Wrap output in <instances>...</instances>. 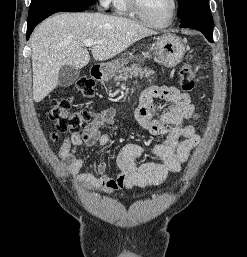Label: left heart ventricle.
I'll return each mask as SVG.
<instances>
[{"label": "left heart ventricle", "mask_w": 247, "mask_h": 257, "mask_svg": "<svg viewBox=\"0 0 247 257\" xmlns=\"http://www.w3.org/2000/svg\"><path fill=\"white\" fill-rule=\"evenodd\" d=\"M144 14L156 23L165 22L173 9L172 0H139Z\"/></svg>", "instance_id": "obj_1"}]
</instances>
